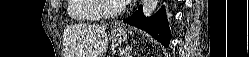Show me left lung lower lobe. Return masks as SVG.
<instances>
[{
	"instance_id": "left-lung-lower-lobe-1",
	"label": "left lung lower lobe",
	"mask_w": 249,
	"mask_h": 57,
	"mask_svg": "<svg viewBox=\"0 0 249 57\" xmlns=\"http://www.w3.org/2000/svg\"><path fill=\"white\" fill-rule=\"evenodd\" d=\"M123 22L148 32L165 47L169 46L171 32L169 30L164 7L153 16L144 17L143 8L140 6L133 15L125 19Z\"/></svg>"
}]
</instances>
